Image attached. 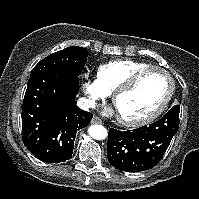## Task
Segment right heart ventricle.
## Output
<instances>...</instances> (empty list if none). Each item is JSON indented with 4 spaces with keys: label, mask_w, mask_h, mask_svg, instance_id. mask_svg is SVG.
<instances>
[{
    "label": "right heart ventricle",
    "mask_w": 199,
    "mask_h": 199,
    "mask_svg": "<svg viewBox=\"0 0 199 199\" xmlns=\"http://www.w3.org/2000/svg\"><path fill=\"white\" fill-rule=\"evenodd\" d=\"M150 64L131 59H118L101 65L97 70V78L104 88L112 93L124 83L135 71Z\"/></svg>",
    "instance_id": "1"
}]
</instances>
